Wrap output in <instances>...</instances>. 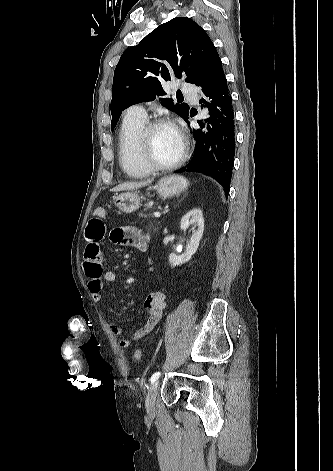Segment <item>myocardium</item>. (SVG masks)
<instances>
[{
    "label": "myocardium",
    "mask_w": 333,
    "mask_h": 471,
    "mask_svg": "<svg viewBox=\"0 0 333 471\" xmlns=\"http://www.w3.org/2000/svg\"><path fill=\"white\" fill-rule=\"evenodd\" d=\"M162 126H170L174 128L179 133L182 142L181 150L178 156L170 163L158 162L154 158L151 150V136L156 129ZM138 149L142 161L153 171H168L177 168L186 159L188 153V143L185 136L173 122L166 119H155L147 122L142 129L139 135Z\"/></svg>",
    "instance_id": "1"
}]
</instances>
